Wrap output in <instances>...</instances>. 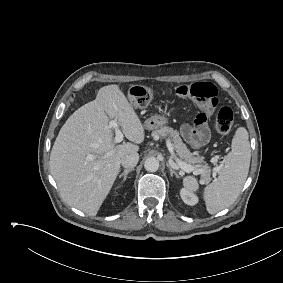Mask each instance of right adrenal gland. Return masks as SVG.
Listing matches in <instances>:
<instances>
[{
  "label": "right adrenal gland",
  "mask_w": 283,
  "mask_h": 283,
  "mask_svg": "<svg viewBox=\"0 0 283 283\" xmlns=\"http://www.w3.org/2000/svg\"><path fill=\"white\" fill-rule=\"evenodd\" d=\"M132 171H134V168L125 169L124 172L119 175V178L123 177V181L122 182H124L126 180L128 173L132 172Z\"/></svg>",
  "instance_id": "1"
}]
</instances>
